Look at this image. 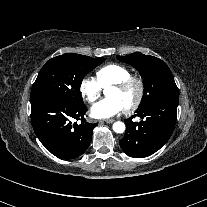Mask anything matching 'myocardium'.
I'll list each match as a JSON object with an SVG mask.
<instances>
[{"mask_svg": "<svg viewBox=\"0 0 207 207\" xmlns=\"http://www.w3.org/2000/svg\"><path fill=\"white\" fill-rule=\"evenodd\" d=\"M132 86L136 87L137 94L134 100L126 107V110L129 112L136 110L144 98L145 84L143 79L139 76H129L126 79L113 84V87L119 91H126Z\"/></svg>", "mask_w": 207, "mask_h": 207, "instance_id": "obj_1", "label": "myocardium"}]
</instances>
